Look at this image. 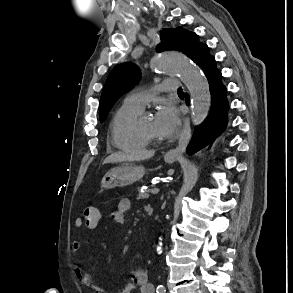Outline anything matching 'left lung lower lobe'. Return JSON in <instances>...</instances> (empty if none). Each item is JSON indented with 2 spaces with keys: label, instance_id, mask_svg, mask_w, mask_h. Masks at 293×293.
Instances as JSON below:
<instances>
[{
  "label": "left lung lower lobe",
  "instance_id": "left-lung-lower-lobe-1",
  "mask_svg": "<svg viewBox=\"0 0 293 293\" xmlns=\"http://www.w3.org/2000/svg\"><path fill=\"white\" fill-rule=\"evenodd\" d=\"M194 62L202 68L208 82L212 97L211 112L206 121L197 126L187 152L193 154L201 148L210 144L227 125L228 102L226 99V88L221 82V72L215 67V59L209 55L206 44L202 46ZM189 102V96L186 95Z\"/></svg>",
  "mask_w": 293,
  "mask_h": 293
}]
</instances>
